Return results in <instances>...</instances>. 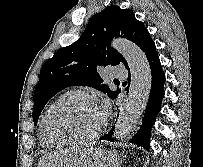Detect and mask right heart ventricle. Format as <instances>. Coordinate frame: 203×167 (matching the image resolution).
Wrapping results in <instances>:
<instances>
[{
	"label": "right heart ventricle",
	"instance_id": "1",
	"mask_svg": "<svg viewBox=\"0 0 203 167\" xmlns=\"http://www.w3.org/2000/svg\"><path fill=\"white\" fill-rule=\"evenodd\" d=\"M67 96L69 95H61L59 96L57 99H55L50 105L49 107L47 108V110L45 111L42 119H41V122H40V125H39V138H40V141H41V144L45 147H48V148H53V147H58V146H61L62 144L60 143H57V142H54L50 139H48L44 132H43V129H42V121L45 117V115L48 113L49 110H51L57 103H59L62 99L66 98Z\"/></svg>",
	"mask_w": 203,
	"mask_h": 167
}]
</instances>
